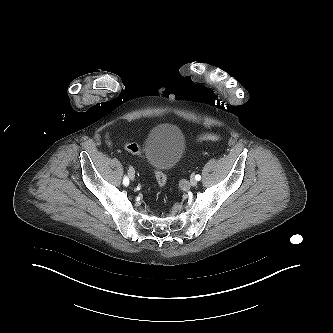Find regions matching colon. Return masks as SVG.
<instances>
[{
  "label": "colon",
  "instance_id": "5ec220e1",
  "mask_svg": "<svg viewBox=\"0 0 333 333\" xmlns=\"http://www.w3.org/2000/svg\"><path fill=\"white\" fill-rule=\"evenodd\" d=\"M219 139L220 138L214 134L203 135L200 138L201 141H213V142L218 141ZM125 147L130 153H133L136 155H142V149L137 143L129 142L125 145ZM155 178H156V182L159 187L164 188L166 186L167 179H166V175H165L164 171L155 170Z\"/></svg>",
  "mask_w": 333,
  "mask_h": 333
}]
</instances>
